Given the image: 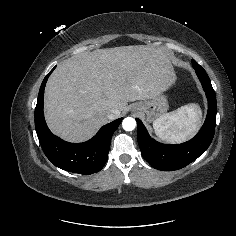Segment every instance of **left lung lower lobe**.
<instances>
[{
  "mask_svg": "<svg viewBox=\"0 0 236 236\" xmlns=\"http://www.w3.org/2000/svg\"><path fill=\"white\" fill-rule=\"evenodd\" d=\"M195 71L206 92L208 112L202 128L193 139L176 145L159 143L149 136L143 123L136 118L137 140L141 153L155 169L163 171L181 169L202 155L212 142L216 126V95L206 71L204 69Z\"/></svg>",
  "mask_w": 236,
  "mask_h": 236,
  "instance_id": "1",
  "label": "left lung lower lobe"
}]
</instances>
